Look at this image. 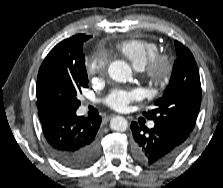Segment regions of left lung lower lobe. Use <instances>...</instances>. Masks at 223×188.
Returning <instances> with one entry per match:
<instances>
[{"instance_id": "1", "label": "left lung lower lobe", "mask_w": 223, "mask_h": 188, "mask_svg": "<svg viewBox=\"0 0 223 188\" xmlns=\"http://www.w3.org/2000/svg\"><path fill=\"white\" fill-rule=\"evenodd\" d=\"M133 154L143 165L157 167L171 163L183 150L184 143L165 127L156 124L148 129L131 123Z\"/></svg>"}]
</instances>
